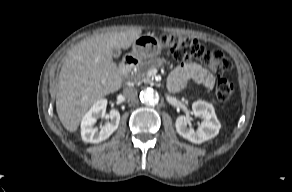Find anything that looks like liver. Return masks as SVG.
I'll list each match as a JSON object with an SVG mask.
<instances>
[{
  "label": "liver",
  "mask_w": 292,
  "mask_h": 192,
  "mask_svg": "<svg viewBox=\"0 0 292 192\" xmlns=\"http://www.w3.org/2000/svg\"><path fill=\"white\" fill-rule=\"evenodd\" d=\"M141 33L134 29L95 35L67 52L56 93V110L65 129L75 132L89 107L121 88L112 49H128Z\"/></svg>",
  "instance_id": "6515ba94"
}]
</instances>
